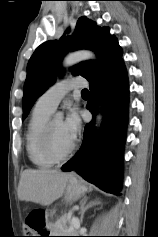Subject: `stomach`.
Segmentation results:
<instances>
[{
  "label": "stomach",
  "mask_w": 158,
  "mask_h": 237,
  "mask_svg": "<svg viewBox=\"0 0 158 237\" xmlns=\"http://www.w3.org/2000/svg\"><path fill=\"white\" fill-rule=\"evenodd\" d=\"M87 186L76 177H72L69 179L63 201L66 204H72L82 198L87 192Z\"/></svg>",
  "instance_id": "0dacf381"
}]
</instances>
